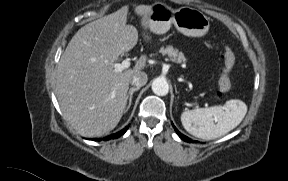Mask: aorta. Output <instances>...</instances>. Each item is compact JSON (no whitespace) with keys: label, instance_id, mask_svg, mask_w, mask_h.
<instances>
[{"label":"aorta","instance_id":"762f6f07","mask_svg":"<svg viewBox=\"0 0 288 181\" xmlns=\"http://www.w3.org/2000/svg\"><path fill=\"white\" fill-rule=\"evenodd\" d=\"M152 91L158 96H165L169 92V85L166 79L156 78L152 83Z\"/></svg>","mask_w":288,"mask_h":181}]
</instances>
